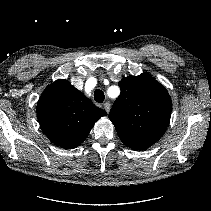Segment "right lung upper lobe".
Segmentation results:
<instances>
[{"label":"right lung upper lobe","mask_w":211,"mask_h":211,"mask_svg":"<svg viewBox=\"0 0 211 211\" xmlns=\"http://www.w3.org/2000/svg\"><path fill=\"white\" fill-rule=\"evenodd\" d=\"M42 131L54 144L73 149L107 113L67 80H56L41 94L36 107Z\"/></svg>","instance_id":"right-lung-upper-lobe-1"}]
</instances>
